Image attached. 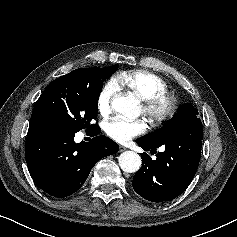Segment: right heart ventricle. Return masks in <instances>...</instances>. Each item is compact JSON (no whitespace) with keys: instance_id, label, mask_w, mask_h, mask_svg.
I'll list each match as a JSON object with an SVG mask.
<instances>
[{"instance_id":"e07e8e85","label":"right heart ventricle","mask_w":237,"mask_h":237,"mask_svg":"<svg viewBox=\"0 0 237 237\" xmlns=\"http://www.w3.org/2000/svg\"><path fill=\"white\" fill-rule=\"evenodd\" d=\"M113 81L119 88H125L141 100L159 93H166L167 83L158 75L148 71H132L118 74Z\"/></svg>"}]
</instances>
